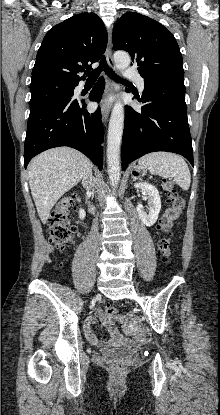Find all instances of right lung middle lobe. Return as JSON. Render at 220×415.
Returning a JSON list of instances; mask_svg holds the SVG:
<instances>
[{"label": "right lung middle lobe", "instance_id": "dd1d6c3e", "mask_svg": "<svg viewBox=\"0 0 220 415\" xmlns=\"http://www.w3.org/2000/svg\"><path fill=\"white\" fill-rule=\"evenodd\" d=\"M76 83L58 79H43L30 84V110L73 94Z\"/></svg>", "mask_w": 220, "mask_h": 415}]
</instances>
